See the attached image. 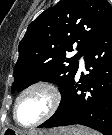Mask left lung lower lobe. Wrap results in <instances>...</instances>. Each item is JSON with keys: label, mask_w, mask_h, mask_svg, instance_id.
I'll return each mask as SVG.
<instances>
[{"label": "left lung lower lobe", "mask_w": 112, "mask_h": 135, "mask_svg": "<svg viewBox=\"0 0 112 135\" xmlns=\"http://www.w3.org/2000/svg\"><path fill=\"white\" fill-rule=\"evenodd\" d=\"M84 59L89 74L79 82L74 75L55 114L39 127L80 124L112 135V23Z\"/></svg>", "instance_id": "obj_1"}]
</instances>
